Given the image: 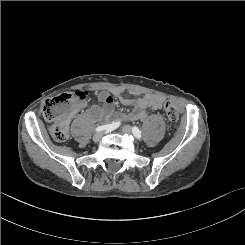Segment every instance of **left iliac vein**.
<instances>
[{
	"mask_svg": "<svg viewBox=\"0 0 245 245\" xmlns=\"http://www.w3.org/2000/svg\"><path fill=\"white\" fill-rule=\"evenodd\" d=\"M122 131H123L124 133L131 134V133H132V127L129 126V125H124V126L122 127Z\"/></svg>",
	"mask_w": 245,
	"mask_h": 245,
	"instance_id": "left-iliac-vein-1",
	"label": "left iliac vein"
}]
</instances>
